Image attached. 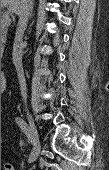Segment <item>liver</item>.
Wrapping results in <instances>:
<instances>
[{
	"mask_svg": "<svg viewBox=\"0 0 109 170\" xmlns=\"http://www.w3.org/2000/svg\"><path fill=\"white\" fill-rule=\"evenodd\" d=\"M1 6H8L9 12L19 15L22 6V0H1Z\"/></svg>",
	"mask_w": 109,
	"mask_h": 170,
	"instance_id": "obj_1",
	"label": "liver"
}]
</instances>
